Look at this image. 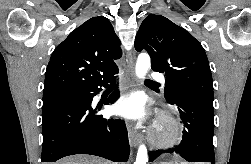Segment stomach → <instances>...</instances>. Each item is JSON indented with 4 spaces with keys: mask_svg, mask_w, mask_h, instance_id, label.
I'll use <instances>...</instances> for the list:
<instances>
[{
    "mask_svg": "<svg viewBox=\"0 0 251 164\" xmlns=\"http://www.w3.org/2000/svg\"><path fill=\"white\" fill-rule=\"evenodd\" d=\"M160 164H188V163H186V162H181V163H177V162H175V163H165V162H162Z\"/></svg>",
    "mask_w": 251,
    "mask_h": 164,
    "instance_id": "obj_1",
    "label": "stomach"
}]
</instances>
